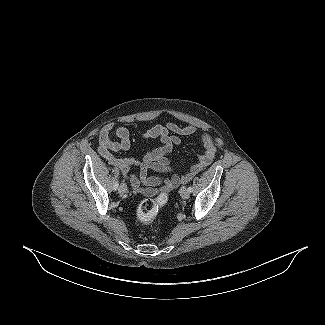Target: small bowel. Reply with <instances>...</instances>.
I'll return each instance as SVG.
<instances>
[{"instance_id": "c3829d8e", "label": "small bowel", "mask_w": 325, "mask_h": 325, "mask_svg": "<svg viewBox=\"0 0 325 325\" xmlns=\"http://www.w3.org/2000/svg\"><path fill=\"white\" fill-rule=\"evenodd\" d=\"M196 131L195 126H180L173 122L153 126L146 131L140 132V136L143 139L159 140L162 143L161 147L146 152L141 159L135 157L118 158L113 155V152L127 151L131 147L130 132L125 127H115L113 123H108L101 129L98 151L112 165L122 171L123 175L129 180L134 192H142L143 190L140 187L141 181L148 185L156 184L155 179L148 177V170L155 168L171 172L172 168L167 155L173 150L174 146L180 144L181 136H190ZM112 132H114L118 140L111 139L110 135ZM201 141L205 150L198 156L197 163L192 165L184 175L173 174L171 180L167 183L169 186L179 187L212 162L216 153L213 138L211 135L204 133L201 135ZM134 166H139L140 168L138 175L134 173L129 174L130 169Z\"/></svg>"}]
</instances>
